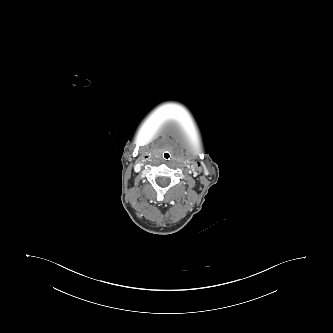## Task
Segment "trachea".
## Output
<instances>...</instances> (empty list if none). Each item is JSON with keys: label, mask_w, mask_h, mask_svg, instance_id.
I'll use <instances>...</instances> for the list:
<instances>
[{"label": "trachea", "mask_w": 333, "mask_h": 333, "mask_svg": "<svg viewBox=\"0 0 333 333\" xmlns=\"http://www.w3.org/2000/svg\"><path fill=\"white\" fill-rule=\"evenodd\" d=\"M164 157H165V158H168V157H170V155H169L168 153H165V154H164Z\"/></svg>", "instance_id": "obj_1"}]
</instances>
